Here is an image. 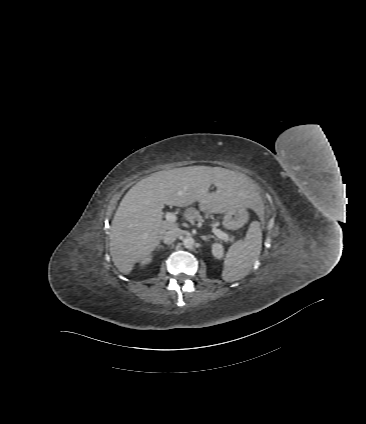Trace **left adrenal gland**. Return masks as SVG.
Returning a JSON list of instances; mask_svg holds the SVG:
<instances>
[{"label":"left adrenal gland","instance_id":"obj_1","mask_svg":"<svg viewBox=\"0 0 366 424\" xmlns=\"http://www.w3.org/2000/svg\"><path fill=\"white\" fill-rule=\"evenodd\" d=\"M205 242H208L211 238L215 239V236L213 235H208V236H202L201 237Z\"/></svg>","mask_w":366,"mask_h":424}]
</instances>
